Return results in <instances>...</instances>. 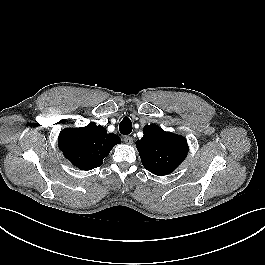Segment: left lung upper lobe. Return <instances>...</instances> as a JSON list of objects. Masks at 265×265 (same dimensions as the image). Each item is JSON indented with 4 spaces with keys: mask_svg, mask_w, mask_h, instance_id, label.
Listing matches in <instances>:
<instances>
[{
    "mask_svg": "<svg viewBox=\"0 0 265 265\" xmlns=\"http://www.w3.org/2000/svg\"><path fill=\"white\" fill-rule=\"evenodd\" d=\"M143 133L136 146L143 166L151 173L167 175L187 156L189 148L183 136L166 132L156 124L146 125Z\"/></svg>",
    "mask_w": 265,
    "mask_h": 265,
    "instance_id": "5c2ea615",
    "label": "left lung upper lobe"
}]
</instances>
